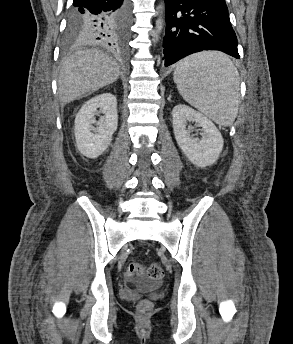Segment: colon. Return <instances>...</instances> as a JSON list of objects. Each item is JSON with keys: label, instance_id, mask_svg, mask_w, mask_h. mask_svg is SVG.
<instances>
[{"label": "colon", "instance_id": "colon-1", "mask_svg": "<svg viewBox=\"0 0 293 344\" xmlns=\"http://www.w3.org/2000/svg\"><path fill=\"white\" fill-rule=\"evenodd\" d=\"M126 274L133 277L148 278L151 281H158L163 277V267L158 262H153L148 266L140 263H131ZM152 310V303L148 300H141L137 304V311L140 315H146Z\"/></svg>", "mask_w": 293, "mask_h": 344}]
</instances>
